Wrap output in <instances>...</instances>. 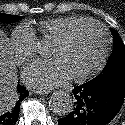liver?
<instances>
[{
  "label": "liver",
  "mask_w": 125,
  "mask_h": 125,
  "mask_svg": "<svg viewBox=\"0 0 125 125\" xmlns=\"http://www.w3.org/2000/svg\"><path fill=\"white\" fill-rule=\"evenodd\" d=\"M8 46V38L0 30V114L14 102L17 86L15 66Z\"/></svg>",
  "instance_id": "6515ba94"
}]
</instances>
